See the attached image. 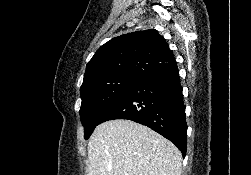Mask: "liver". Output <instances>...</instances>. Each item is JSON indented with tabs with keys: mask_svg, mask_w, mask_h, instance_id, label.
Here are the masks:
<instances>
[{
	"mask_svg": "<svg viewBox=\"0 0 251 175\" xmlns=\"http://www.w3.org/2000/svg\"><path fill=\"white\" fill-rule=\"evenodd\" d=\"M87 175H181L182 153L150 127L111 119L95 127L87 145ZM111 169V171H109Z\"/></svg>",
	"mask_w": 251,
	"mask_h": 175,
	"instance_id": "1",
	"label": "liver"
}]
</instances>
